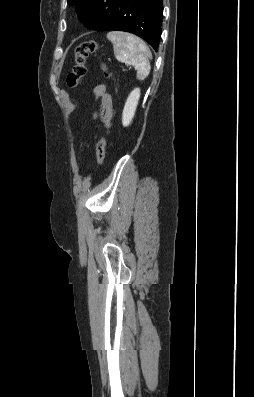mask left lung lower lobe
Segmentation results:
<instances>
[{
  "mask_svg": "<svg viewBox=\"0 0 254 397\" xmlns=\"http://www.w3.org/2000/svg\"><path fill=\"white\" fill-rule=\"evenodd\" d=\"M96 31L119 30L136 34L157 50L163 19L162 0H107Z\"/></svg>",
  "mask_w": 254,
  "mask_h": 397,
  "instance_id": "0a47b994",
  "label": "left lung lower lobe"
}]
</instances>
